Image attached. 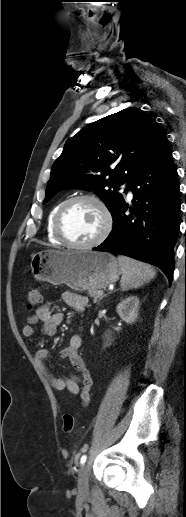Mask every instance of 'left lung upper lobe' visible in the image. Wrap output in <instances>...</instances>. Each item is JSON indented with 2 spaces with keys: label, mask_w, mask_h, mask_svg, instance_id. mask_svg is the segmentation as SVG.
I'll return each instance as SVG.
<instances>
[{
  "label": "left lung upper lobe",
  "mask_w": 186,
  "mask_h": 517,
  "mask_svg": "<svg viewBox=\"0 0 186 517\" xmlns=\"http://www.w3.org/2000/svg\"><path fill=\"white\" fill-rule=\"evenodd\" d=\"M164 138L156 122L134 107L93 122L66 141L53 164L43 204L60 190L87 189L114 215L125 203L116 189L128 184Z\"/></svg>",
  "instance_id": "left-lung-upper-lobe-1"
}]
</instances>
